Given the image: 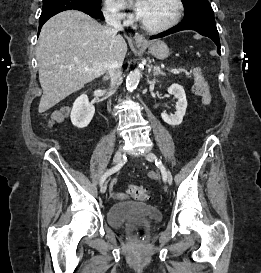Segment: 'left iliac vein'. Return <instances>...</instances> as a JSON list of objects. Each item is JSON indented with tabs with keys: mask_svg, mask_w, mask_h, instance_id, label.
Returning <instances> with one entry per match:
<instances>
[{
	"mask_svg": "<svg viewBox=\"0 0 261 273\" xmlns=\"http://www.w3.org/2000/svg\"><path fill=\"white\" fill-rule=\"evenodd\" d=\"M144 157L149 161H155L157 159V156L154 153L149 152V151L144 154ZM165 175H166L165 181H167L169 184H171L172 183V175H171L170 171L167 170L166 168H165Z\"/></svg>",
	"mask_w": 261,
	"mask_h": 273,
	"instance_id": "4c4485c4",
	"label": "left iliac vein"
}]
</instances>
